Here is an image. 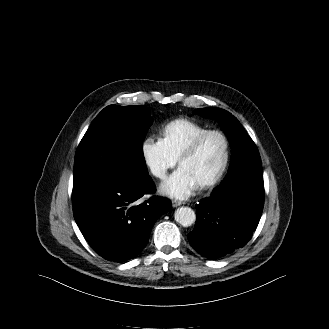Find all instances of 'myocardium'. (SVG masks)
Here are the masks:
<instances>
[{
	"instance_id": "myocardium-1",
	"label": "myocardium",
	"mask_w": 329,
	"mask_h": 329,
	"mask_svg": "<svg viewBox=\"0 0 329 329\" xmlns=\"http://www.w3.org/2000/svg\"><path fill=\"white\" fill-rule=\"evenodd\" d=\"M210 135H217L222 139V141L224 143V157H223V161H222L219 169L217 170V172L210 178L199 183V186L204 187V188L210 187V186L216 184L217 182H219L227 171V168H228L229 162H230V158H231V145H230V140H229L228 136L221 130H217V129L206 130V131L202 132L201 134H199L198 136H196L187 145V147L182 151V153L180 154V156L178 158V165L180 166V164L183 160L193 156L196 153V151L198 150V148L201 145V143L203 142V140Z\"/></svg>"
}]
</instances>
